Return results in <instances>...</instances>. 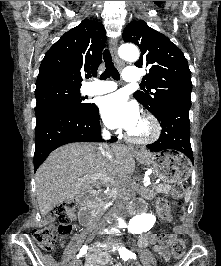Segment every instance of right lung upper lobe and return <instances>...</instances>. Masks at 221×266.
Segmentation results:
<instances>
[{
  "label": "right lung upper lobe",
  "instance_id": "obj_1",
  "mask_svg": "<svg viewBox=\"0 0 221 266\" xmlns=\"http://www.w3.org/2000/svg\"><path fill=\"white\" fill-rule=\"evenodd\" d=\"M106 34L102 23L85 19L66 32L45 54L36 88L51 85L81 87L82 74L96 75Z\"/></svg>",
  "mask_w": 221,
  "mask_h": 266
}]
</instances>
